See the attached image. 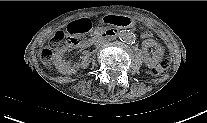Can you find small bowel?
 Returning <instances> with one entry per match:
<instances>
[{
  "instance_id": "1",
  "label": "small bowel",
  "mask_w": 207,
  "mask_h": 123,
  "mask_svg": "<svg viewBox=\"0 0 207 123\" xmlns=\"http://www.w3.org/2000/svg\"><path fill=\"white\" fill-rule=\"evenodd\" d=\"M104 23L109 27L128 28L132 20L130 17H125L124 15L106 14L104 16ZM92 26L93 20L90 17H81L69 24V31L75 34H81L89 30ZM151 45L154 46V44ZM159 54L160 51L157 52V55ZM150 60L152 61V58Z\"/></svg>"
}]
</instances>
